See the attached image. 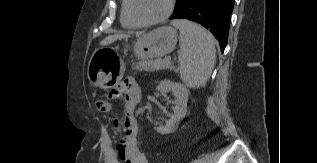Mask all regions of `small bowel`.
Here are the masks:
<instances>
[{
	"label": "small bowel",
	"mask_w": 317,
	"mask_h": 163,
	"mask_svg": "<svg viewBox=\"0 0 317 163\" xmlns=\"http://www.w3.org/2000/svg\"><path fill=\"white\" fill-rule=\"evenodd\" d=\"M116 95L125 99V119L123 123V137L113 144L110 135H107L103 144L102 163H148L137 141V108L141 91L135 80L128 78L116 90Z\"/></svg>",
	"instance_id": "c3829d8e"
}]
</instances>
